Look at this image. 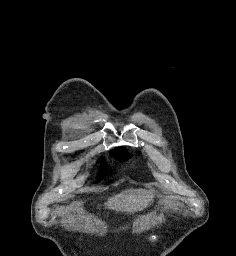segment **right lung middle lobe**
<instances>
[{
  "mask_svg": "<svg viewBox=\"0 0 236 256\" xmlns=\"http://www.w3.org/2000/svg\"><path fill=\"white\" fill-rule=\"evenodd\" d=\"M113 156L120 160V161H126L129 158H131V155L123 148L116 149L115 151L112 152Z\"/></svg>",
  "mask_w": 236,
  "mask_h": 256,
  "instance_id": "obj_1",
  "label": "right lung middle lobe"
}]
</instances>
